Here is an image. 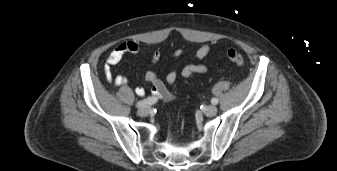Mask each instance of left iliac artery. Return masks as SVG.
<instances>
[{"label":"left iliac artery","mask_w":337,"mask_h":171,"mask_svg":"<svg viewBox=\"0 0 337 171\" xmlns=\"http://www.w3.org/2000/svg\"><path fill=\"white\" fill-rule=\"evenodd\" d=\"M218 102H219V101H218L217 98H212V99H211V103L214 104V105L218 104Z\"/></svg>","instance_id":"left-iliac-artery-1"}]
</instances>
